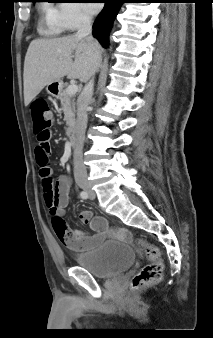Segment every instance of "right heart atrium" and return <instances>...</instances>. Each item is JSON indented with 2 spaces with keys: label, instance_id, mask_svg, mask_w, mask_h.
Segmentation results:
<instances>
[{
  "label": "right heart atrium",
  "instance_id": "d8ad5b80",
  "mask_svg": "<svg viewBox=\"0 0 213 338\" xmlns=\"http://www.w3.org/2000/svg\"><path fill=\"white\" fill-rule=\"evenodd\" d=\"M58 21L67 30H74L90 22V15L81 3L66 0L57 7Z\"/></svg>",
  "mask_w": 213,
  "mask_h": 338
}]
</instances>
